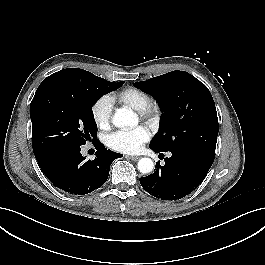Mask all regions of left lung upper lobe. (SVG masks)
I'll return each mask as SVG.
<instances>
[{"label":"left lung upper lobe","mask_w":265,"mask_h":265,"mask_svg":"<svg viewBox=\"0 0 265 265\" xmlns=\"http://www.w3.org/2000/svg\"><path fill=\"white\" fill-rule=\"evenodd\" d=\"M134 86L152 95L163 112L151 149L191 150L214 160L219 124L212 95L202 82L185 71H172Z\"/></svg>","instance_id":"5c2ea615"}]
</instances>
